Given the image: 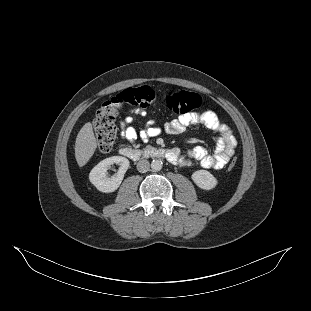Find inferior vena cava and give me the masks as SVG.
Listing matches in <instances>:
<instances>
[{"instance_id":"1","label":"inferior vena cava","mask_w":311,"mask_h":311,"mask_svg":"<svg viewBox=\"0 0 311 311\" xmlns=\"http://www.w3.org/2000/svg\"><path fill=\"white\" fill-rule=\"evenodd\" d=\"M150 168V163L146 159H142L137 163V170L140 173H146Z\"/></svg>"}]
</instances>
